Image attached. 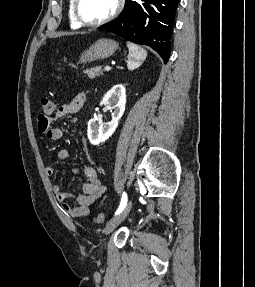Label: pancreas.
Segmentation results:
<instances>
[{"label": "pancreas", "mask_w": 255, "mask_h": 287, "mask_svg": "<svg viewBox=\"0 0 255 287\" xmlns=\"http://www.w3.org/2000/svg\"><path fill=\"white\" fill-rule=\"evenodd\" d=\"M84 74H87L88 78H96V76H101V66H96V68H90V70H85Z\"/></svg>", "instance_id": "obj_1"}]
</instances>
